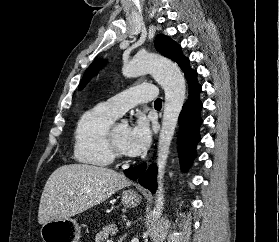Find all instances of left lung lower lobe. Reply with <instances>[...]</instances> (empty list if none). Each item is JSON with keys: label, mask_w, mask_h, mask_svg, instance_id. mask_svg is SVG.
<instances>
[{"label": "left lung lower lobe", "mask_w": 279, "mask_h": 242, "mask_svg": "<svg viewBox=\"0 0 279 242\" xmlns=\"http://www.w3.org/2000/svg\"><path fill=\"white\" fill-rule=\"evenodd\" d=\"M185 73L188 81L189 97L188 101L183 105L180 114L181 130L179 141V155L183 170H186L196 156L195 148L200 140L199 128L202 124L200 119V110L202 103L199 100L201 86L197 82V72L189 67V60L186 58L180 66ZM146 163L124 170L127 177L132 180L139 178V183L143 187L149 189L152 193L156 190V174L157 168L151 166L147 172Z\"/></svg>", "instance_id": "left-lung-lower-lobe-1"}]
</instances>
